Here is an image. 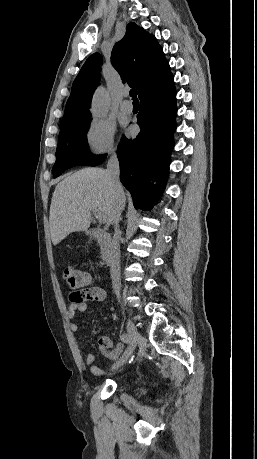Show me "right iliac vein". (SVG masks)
I'll use <instances>...</instances> for the list:
<instances>
[{"label":"right iliac vein","mask_w":257,"mask_h":459,"mask_svg":"<svg viewBox=\"0 0 257 459\" xmlns=\"http://www.w3.org/2000/svg\"><path fill=\"white\" fill-rule=\"evenodd\" d=\"M127 332L129 335V349L127 354L123 355L120 361L114 364L111 368L112 371L119 369L122 365H124L133 355V352L137 346V343L140 339V333L134 326V324L128 320L127 322Z\"/></svg>","instance_id":"obj_1"}]
</instances>
